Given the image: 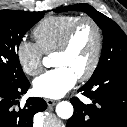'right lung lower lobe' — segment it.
<instances>
[{"label": "right lung lower lobe", "mask_w": 127, "mask_h": 127, "mask_svg": "<svg viewBox=\"0 0 127 127\" xmlns=\"http://www.w3.org/2000/svg\"><path fill=\"white\" fill-rule=\"evenodd\" d=\"M29 86L27 79L21 83L0 80V127H33L34 114L46 109L42 98H29L23 107L18 105V98Z\"/></svg>", "instance_id": "98d812e1"}]
</instances>
